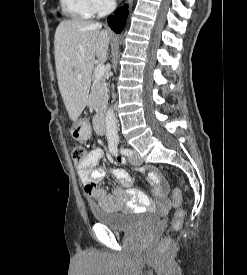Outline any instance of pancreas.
Segmentation results:
<instances>
[{
    "label": "pancreas",
    "mask_w": 247,
    "mask_h": 275,
    "mask_svg": "<svg viewBox=\"0 0 247 275\" xmlns=\"http://www.w3.org/2000/svg\"><path fill=\"white\" fill-rule=\"evenodd\" d=\"M108 102L107 85L105 79H96L91 87L88 98V105L93 107L100 114L106 109Z\"/></svg>",
    "instance_id": "pancreas-1"
}]
</instances>
